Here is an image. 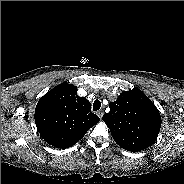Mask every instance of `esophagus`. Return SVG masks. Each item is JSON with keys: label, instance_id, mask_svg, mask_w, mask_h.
Returning a JSON list of instances; mask_svg holds the SVG:
<instances>
[{"label": "esophagus", "instance_id": "esophagus-1", "mask_svg": "<svg viewBox=\"0 0 184 184\" xmlns=\"http://www.w3.org/2000/svg\"><path fill=\"white\" fill-rule=\"evenodd\" d=\"M97 114H98V116H99L100 118H102V117H103L104 112H103V110H100V111H98V112H97Z\"/></svg>", "mask_w": 184, "mask_h": 184}]
</instances>
